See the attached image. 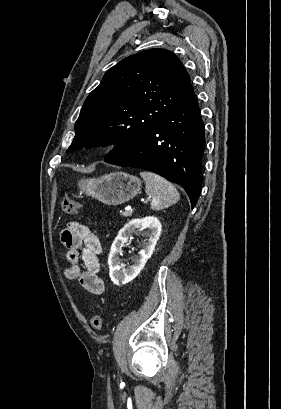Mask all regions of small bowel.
<instances>
[{
    "instance_id": "1",
    "label": "small bowel",
    "mask_w": 281,
    "mask_h": 409,
    "mask_svg": "<svg viewBox=\"0 0 281 409\" xmlns=\"http://www.w3.org/2000/svg\"><path fill=\"white\" fill-rule=\"evenodd\" d=\"M60 238L69 263L64 271L65 277L77 281L88 292L102 294L104 284L99 276L102 244L98 233L87 225L72 221L62 230Z\"/></svg>"
}]
</instances>
